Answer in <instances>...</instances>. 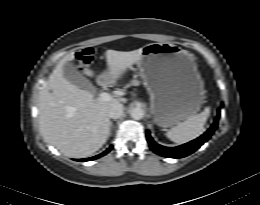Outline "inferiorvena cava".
Returning <instances> with one entry per match:
<instances>
[{
    "mask_svg": "<svg viewBox=\"0 0 260 205\" xmlns=\"http://www.w3.org/2000/svg\"><path fill=\"white\" fill-rule=\"evenodd\" d=\"M123 105L115 104L108 109V117L117 119L123 114Z\"/></svg>",
    "mask_w": 260,
    "mask_h": 205,
    "instance_id": "obj_1",
    "label": "inferior vena cava"
}]
</instances>
